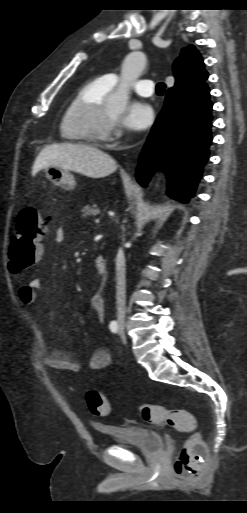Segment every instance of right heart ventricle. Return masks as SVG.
Listing matches in <instances>:
<instances>
[{
    "instance_id": "right-heart-ventricle-1",
    "label": "right heart ventricle",
    "mask_w": 247,
    "mask_h": 513,
    "mask_svg": "<svg viewBox=\"0 0 247 513\" xmlns=\"http://www.w3.org/2000/svg\"><path fill=\"white\" fill-rule=\"evenodd\" d=\"M111 90L99 78L82 84L69 101L60 121V133L63 139L74 143H90L93 140L72 127V123L86 109L100 105Z\"/></svg>"
}]
</instances>
